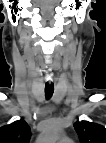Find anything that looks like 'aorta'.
Instances as JSON below:
<instances>
[{
	"label": "aorta",
	"instance_id": "1",
	"mask_svg": "<svg viewBox=\"0 0 106 143\" xmlns=\"http://www.w3.org/2000/svg\"><path fill=\"white\" fill-rule=\"evenodd\" d=\"M60 128L56 125H52L47 128L43 134V141L54 142L59 136Z\"/></svg>",
	"mask_w": 106,
	"mask_h": 143
}]
</instances>
